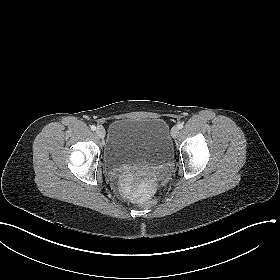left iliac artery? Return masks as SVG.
<instances>
[{
	"instance_id": "44dca946",
	"label": "left iliac artery",
	"mask_w": 280,
	"mask_h": 280,
	"mask_svg": "<svg viewBox=\"0 0 280 280\" xmlns=\"http://www.w3.org/2000/svg\"><path fill=\"white\" fill-rule=\"evenodd\" d=\"M178 128H179V129H182V128H183V123H179V124H178Z\"/></svg>"
}]
</instances>
